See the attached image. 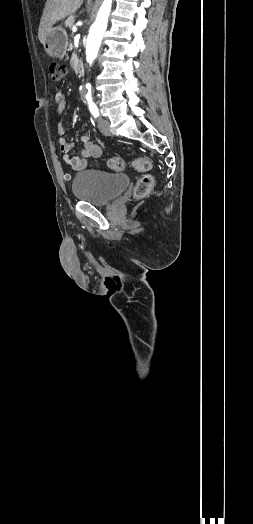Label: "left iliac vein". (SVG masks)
Instances as JSON below:
<instances>
[{
  "mask_svg": "<svg viewBox=\"0 0 253 524\" xmlns=\"http://www.w3.org/2000/svg\"><path fill=\"white\" fill-rule=\"evenodd\" d=\"M98 127H99V130L100 132L103 134V135H110V127H109V121L104 119V118H99L98 120Z\"/></svg>",
  "mask_w": 253,
  "mask_h": 524,
  "instance_id": "left-iliac-vein-1",
  "label": "left iliac vein"
}]
</instances>
